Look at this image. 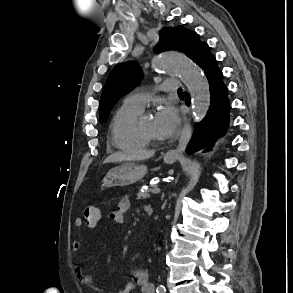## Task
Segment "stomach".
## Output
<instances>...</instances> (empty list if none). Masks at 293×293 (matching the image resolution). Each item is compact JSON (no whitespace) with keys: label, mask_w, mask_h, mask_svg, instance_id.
Returning <instances> with one entry per match:
<instances>
[{"label":"stomach","mask_w":293,"mask_h":293,"mask_svg":"<svg viewBox=\"0 0 293 293\" xmlns=\"http://www.w3.org/2000/svg\"><path fill=\"white\" fill-rule=\"evenodd\" d=\"M167 164L176 161V157L164 156ZM147 173V167L135 163H124L119 167L110 170L102 181V187L110 188L114 186H127L140 181Z\"/></svg>","instance_id":"stomach-1"}]
</instances>
